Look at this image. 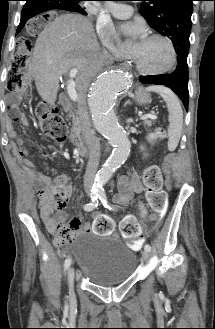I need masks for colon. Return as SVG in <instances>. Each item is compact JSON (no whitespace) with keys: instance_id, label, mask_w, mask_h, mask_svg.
Wrapping results in <instances>:
<instances>
[{"instance_id":"obj_1","label":"colon","mask_w":215,"mask_h":329,"mask_svg":"<svg viewBox=\"0 0 215 329\" xmlns=\"http://www.w3.org/2000/svg\"><path fill=\"white\" fill-rule=\"evenodd\" d=\"M55 21V14H34V19H30L26 25V32H30V37H20L18 47L9 62L10 78L8 89L7 109H22L28 97L27 84L23 79V68L27 67V56L30 52L31 44L36 43V38H47L48 26ZM36 115L41 122V128L45 135H48L59 142L65 139V125L58 112L45 103H40L36 108ZM163 135L162 131H155L150 135V141L155 142ZM143 181L146 187V199L152 209V217H170V210L167 206V195L162 189L163 178L158 166L151 165L145 168ZM44 202L55 209H62L67 204L66 183L54 179L49 188L43 192ZM96 220L105 219L103 216ZM121 233L124 237L135 239L141 233L140 224L131 217L125 218L120 225ZM52 231L57 237L59 244L66 242L70 236L69 229L60 224H55Z\"/></svg>"}]
</instances>
